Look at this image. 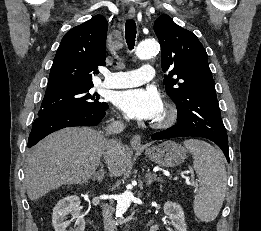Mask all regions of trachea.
Listing matches in <instances>:
<instances>
[{
    "instance_id": "1",
    "label": "trachea",
    "mask_w": 261,
    "mask_h": 231,
    "mask_svg": "<svg viewBox=\"0 0 261 231\" xmlns=\"http://www.w3.org/2000/svg\"><path fill=\"white\" fill-rule=\"evenodd\" d=\"M136 23L133 19L127 20L125 24V39L128 48L132 50L135 45Z\"/></svg>"
}]
</instances>
